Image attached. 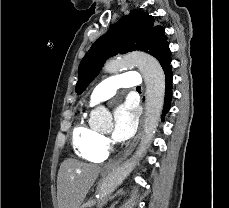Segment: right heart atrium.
<instances>
[{
  "label": "right heart atrium",
  "mask_w": 229,
  "mask_h": 208,
  "mask_svg": "<svg viewBox=\"0 0 229 208\" xmlns=\"http://www.w3.org/2000/svg\"><path fill=\"white\" fill-rule=\"evenodd\" d=\"M100 147L103 151H107L110 149L111 147V142L108 138L106 137H101V141H100Z\"/></svg>",
  "instance_id": "d8ad5b80"
}]
</instances>
